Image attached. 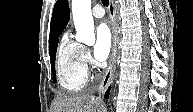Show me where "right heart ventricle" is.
<instances>
[{"mask_svg": "<svg viewBox=\"0 0 193 112\" xmlns=\"http://www.w3.org/2000/svg\"><path fill=\"white\" fill-rule=\"evenodd\" d=\"M56 73L61 88L67 92L81 91L88 80L83 47L65 34L58 46Z\"/></svg>", "mask_w": 193, "mask_h": 112, "instance_id": "right-heart-ventricle-1", "label": "right heart ventricle"}]
</instances>
